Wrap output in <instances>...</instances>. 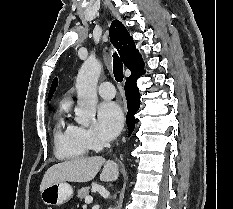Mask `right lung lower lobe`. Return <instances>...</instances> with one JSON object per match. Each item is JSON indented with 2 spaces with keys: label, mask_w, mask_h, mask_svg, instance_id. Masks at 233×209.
<instances>
[{
  "label": "right lung lower lobe",
  "mask_w": 233,
  "mask_h": 209,
  "mask_svg": "<svg viewBox=\"0 0 233 209\" xmlns=\"http://www.w3.org/2000/svg\"><path fill=\"white\" fill-rule=\"evenodd\" d=\"M143 73L144 71L136 76L127 78L124 87L125 95L128 103V113L126 120L130 132H132L135 127L134 115L138 111L140 106V95L136 81Z\"/></svg>",
  "instance_id": "obj_1"
}]
</instances>
